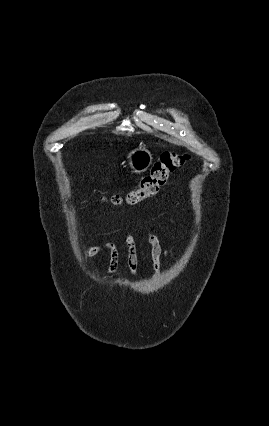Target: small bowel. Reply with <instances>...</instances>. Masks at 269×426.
<instances>
[{"label":"small bowel","mask_w":269,"mask_h":426,"mask_svg":"<svg viewBox=\"0 0 269 426\" xmlns=\"http://www.w3.org/2000/svg\"><path fill=\"white\" fill-rule=\"evenodd\" d=\"M147 241L150 246V258L153 269L152 279L155 280L161 272L162 258L167 257L168 252L162 247L156 234L149 232L147 235ZM124 242L127 247V265L129 268V275L133 276L139 265L138 246L134 237L129 233L125 235ZM85 251L89 256H94L101 251H107L109 253L110 260L106 274L107 276H111L116 272L120 259V252L116 244L108 242L101 246H88Z\"/></svg>","instance_id":"1"}]
</instances>
